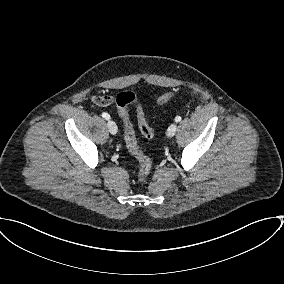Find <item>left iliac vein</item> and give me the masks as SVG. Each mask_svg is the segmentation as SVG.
I'll return each instance as SVG.
<instances>
[{
    "instance_id": "left-iliac-vein-1",
    "label": "left iliac vein",
    "mask_w": 284,
    "mask_h": 284,
    "mask_svg": "<svg viewBox=\"0 0 284 284\" xmlns=\"http://www.w3.org/2000/svg\"><path fill=\"white\" fill-rule=\"evenodd\" d=\"M176 131H177V124L176 123L171 124L167 130V136L173 137Z\"/></svg>"
}]
</instances>
